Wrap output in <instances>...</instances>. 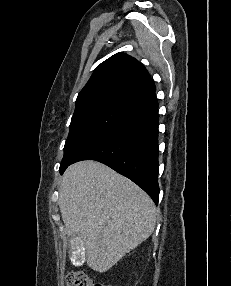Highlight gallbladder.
I'll use <instances>...</instances> for the list:
<instances>
[{
    "mask_svg": "<svg viewBox=\"0 0 231 286\" xmlns=\"http://www.w3.org/2000/svg\"><path fill=\"white\" fill-rule=\"evenodd\" d=\"M68 251H69V258L71 259V263H74L76 267L83 265L86 263V258H85V247L83 246L84 242L83 240L80 239V237H75L72 239L68 240Z\"/></svg>",
    "mask_w": 231,
    "mask_h": 286,
    "instance_id": "obj_1",
    "label": "gallbladder"
}]
</instances>
